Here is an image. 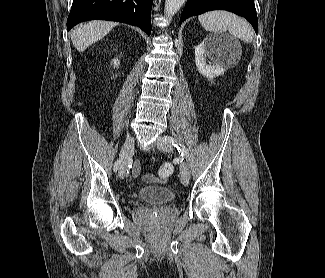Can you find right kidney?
<instances>
[{"instance_id": "1", "label": "right kidney", "mask_w": 325, "mask_h": 278, "mask_svg": "<svg viewBox=\"0 0 325 278\" xmlns=\"http://www.w3.org/2000/svg\"><path fill=\"white\" fill-rule=\"evenodd\" d=\"M113 61H114V67H118V65H119V60H118V59H114Z\"/></svg>"}]
</instances>
